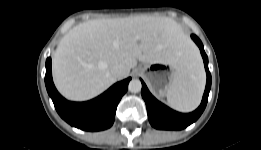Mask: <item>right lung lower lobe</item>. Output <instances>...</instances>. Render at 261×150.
<instances>
[{
  "instance_id": "right-lung-lower-lobe-1",
  "label": "right lung lower lobe",
  "mask_w": 261,
  "mask_h": 150,
  "mask_svg": "<svg viewBox=\"0 0 261 150\" xmlns=\"http://www.w3.org/2000/svg\"><path fill=\"white\" fill-rule=\"evenodd\" d=\"M130 79L114 84L93 100L69 102L56 90L51 74V58L46 60L45 85L58 114L70 125L85 131H100L112 126L117 105L126 93Z\"/></svg>"
}]
</instances>
